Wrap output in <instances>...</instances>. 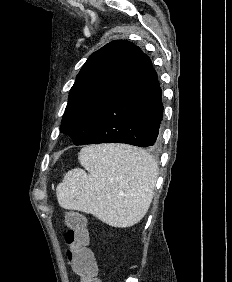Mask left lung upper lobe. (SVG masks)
<instances>
[{"mask_svg": "<svg viewBox=\"0 0 232 282\" xmlns=\"http://www.w3.org/2000/svg\"><path fill=\"white\" fill-rule=\"evenodd\" d=\"M142 54L133 43L115 40L87 59L70 89L60 128L75 145L89 139L102 106L125 83Z\"/></svg>", "mask_w": 232, "mask_h": 282, "instance_id": "left-lung-upper-lobe-1", "label": "left lung upper lobe"}]
</instances>
